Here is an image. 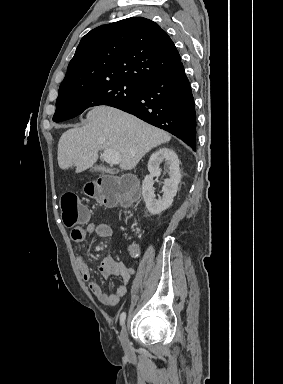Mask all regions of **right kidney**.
Returning <instances> with one entry per match:
<instances>
[{"label": "right kidney", "instance_id": "obj_1", "mask_svg": "<svg viewBox=\"0 0 283 384\" xmlns=\"http://www.w3.org/2000/svg\"><path fill=\"white\" fill-rule=\"evenodd\" d=\"M165 162V168L169 170V178L164 180V186L162 188L163 196L155 200L153 178L160 176L161 170L160 164ZM149 176H145L142 184V194L144 202H146V208L152 216L155 214H161L167 208H170L174 196L177 194L178 184H180L181 174L179 168L178 156H176L174 150L169 148H159L157 152L152 154L148 162Z\"/></svg>", "mask_w": 283, "mask_h": 384}]
</instances>
